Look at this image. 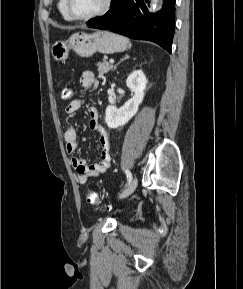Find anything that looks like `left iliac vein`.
<instances>
[{"label":"left iliac vein","mask_w":243,"mask_h":289,"mask_svg":"<svg viewBox=\"0 0 243 289\" xmlns=\"http://www.w3.org/2000/svg\"><path fill=\"white\" fill-rule=\"evenodd\" d=\"M137 185H138V180L136 177H134L133 180L127 186V188L119 195V198L123 199L131 195L135 191Z\"/></svg>","instance_id":"left-iliac-vein-1"}]
</instances>
